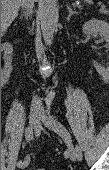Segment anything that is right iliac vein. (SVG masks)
<instances>
[{"label": "right iliac vein", "mask_w": 109, "mask_h": 170, "mask_svg": "<svg viewBox=\"0 0 109 170\" xmlns=\"http://www.w3.org/2000/svg\"><path fill=\"white\" fill-rule=\"evenodd\" d=\"M38 122V112L35 111V110H32L29 114V132H30V138L33 137V130L36 126ZM29 161H30V158L27 156L24 161H23V165L22 167H19V168H22L24 169L25 167L28 166L29 164Z\"/></svg>", "instance_id": "right-iliac-vein-1"}]
</instances>
